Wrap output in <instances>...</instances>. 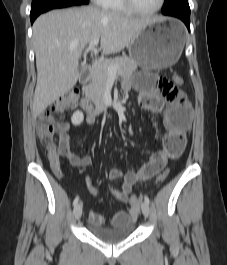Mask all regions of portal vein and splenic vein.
Here are the masks:
<instances>
[{
    "label": "portal vein and splenic vein",
    "instance_id": "18ae733b",
    "mask_svg": "<svg viewBox=\"0 0 227 265\" xmlns=\"http://www.w3.org/2000/svg\"><path fill=\"white\" fill-rule=\"evenodd\" d=\"M99 43V39H93L92 41L89 42V47L94 48L97 44ZM117 67L115 66H109L108 67V74L109 76H115L117 72Z\"/></svg>",
    "mask_w": 227,
    "mask_h": 265
}]
</instances>
